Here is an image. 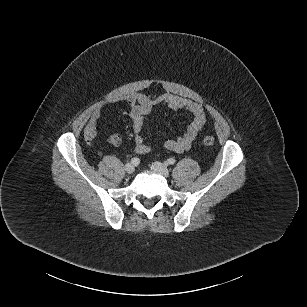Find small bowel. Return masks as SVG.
<instances>
[{"label": "small bowel", "instance_id": "1", "mask_svg": "<svg viewBox=\"0 0 307 307\" xmlns=\"http://www.w3.org/2000/svg\"><path fill=\"white\" fill-rule=\"evenodd\" d=\"M122 100L128 105L127 115L133 125L135 152L140 155L147 154L152 150L145 142L142 129L146 122V117L156 105H165L172 110H186L193 116L183 135L168 139L164 143L166 149L176 153H182L190 149L206 121L205 110L200 103L174 94L167 93L152 98L142 93H132L123 96ZM103 108L95 109L89 119L87 124V135L89 137L95 136L96 125L101 117Z\"/></svg>", "mask_w": 307, "mask_h": 307}]
</instances>
